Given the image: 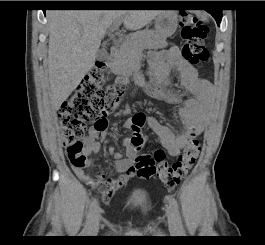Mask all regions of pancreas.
<instances>
[{
    "instance_id": "pancreas-1",
    "label": "pancreas",
    "mask_w": 265,
    "mask_h": 245,
    "mask_svg": "<svg viewBox=\"0 0 265 245\" xmlns=\"http://www.w3.org/2000/svg\"><path fill=\"white\" fill-rule=\"evenodd\" d=\"M167 46L166 39L152 30L136 32L120 45L114 57L112 70L117 75L129 78L137 70L145 48L158 49Z\"/></svg>"
}]
</instances>
